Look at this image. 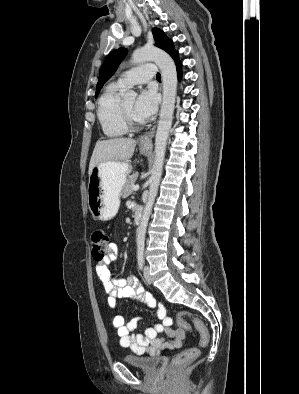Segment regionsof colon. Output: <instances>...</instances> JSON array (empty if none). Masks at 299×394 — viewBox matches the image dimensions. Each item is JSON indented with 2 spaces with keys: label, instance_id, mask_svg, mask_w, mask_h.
<instances>
[{
  "label": "colon",
  "instance_id": "colon-1",
  "mask_svg": "<svg viewBox=\"0 0 299 394\" xmlns=\"http://www.w3.org/2000/svg\"><path fill=\"white\" fill-rule=\"evenodd\" d=\"M90 244L92 249V255L97 260H102L106 257L110 246V236L108 233L102 230H95L90 234ZM184 315L191 316L193 319V324L196 330L200 334L199 346L200 347H207L209 344L210 336L207 328L204 326L202 320L192 315L189 312H180L178 314V324L183 327L184 329H190V325L185 322L182 317ZM199 356V349L198 348H189L180 353H178L171 361V368L177 369L183 367L190 362L194 361Z\"/></svg>",
  "mask_w": 299,
  "mask_h": 394
}]
</instances>
